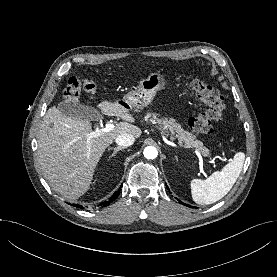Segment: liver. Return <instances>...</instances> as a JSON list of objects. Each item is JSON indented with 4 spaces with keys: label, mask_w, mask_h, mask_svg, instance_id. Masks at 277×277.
I'll list each match as a JSON object with an SVG mask.
<instances>
[{
    "label": "liver",
    "mask_w": 277,
    "mask_h": 277,
    "mask_svg": "<svg viewBox=\"0 0 277 277\" xmlns=\"http://www.w3.org/2000/svg\"><path fill=\"white\" fill-rule=\"evenodd\" d=\"M103 114L120 117L110 132L88 138L92 125L88 120L65 115L55 106L49 108L38 131V160L43 176L53 190L68 200H76L90 187L98 163L113 141L121 134L139 138L142 131L133 125L131 111L118 102L101 101Z\"/></svg>",
    "instance_id": "liver-1"
}]
</instances>
